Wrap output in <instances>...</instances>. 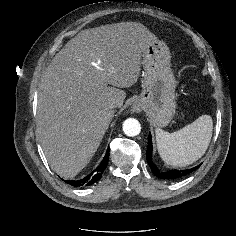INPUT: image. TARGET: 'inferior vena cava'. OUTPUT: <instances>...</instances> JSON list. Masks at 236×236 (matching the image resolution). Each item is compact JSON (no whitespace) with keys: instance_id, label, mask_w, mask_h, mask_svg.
<instances>
[{"instance_id":"602c4592","label":"inferior vena cava","mask_w":236,"mask_h":236,"mask_svg":"<svg viewBox=\"0 0 236 236\" xmlns=\"http://www.w3.org/2000/svg\"><path fill=\"white\" fill-rule=\"evenodd\" d=\"M115 107H116V105H115L114 103H110V104H109V108H110V109H113V108H115Z\"/></svg>"}]
</instances>
